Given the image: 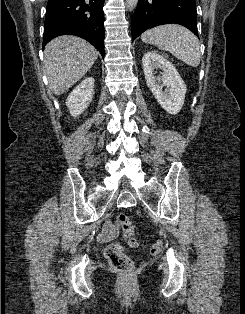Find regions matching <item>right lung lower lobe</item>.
I'll use <instances>...</instances> for the list:
<instances>
[{"label": "right lung lower lobe", "instance_id": "obj_1", "mask_svg": "<svg viewBox=\"0 0 245 314\" xmlns=\"http://www.w3.org/2000/svg\"><path fill=\"white\" fill-rule=\"evenodd\" d=\"M104 0H48L43 48L53 38L71 34L94 45L104 57Z\"/></svg>", "mask_w": 245, "mask_h": 314}]
</instances>
